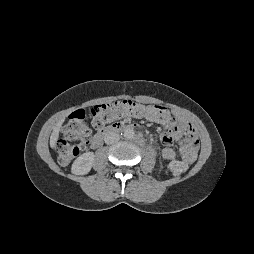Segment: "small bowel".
I'll use <instances>...</instances> for the list:
<instances>
[{
    "label": "small bowel",
    "instance_id": "small-bowel-1",
    "mask_svg": "<svg viewBox=\"0 0 254 254\" xmlns=\"http://www.w3.org/2000/svg\"><path fill=\"white\" fill-rule=\"evenodd\" d=\"M163 131L158 140L164 145L162 156L166 160H173L177 157L176 152L168 145L176 142L179 144L180 153L186 163H193L197 158L198 138L192 124L184 117L173 115L169 112L168 118L156 121Z\"/></svg>",
    "mask_w": 254,
    "mask_h": 254
}]
</instances>
